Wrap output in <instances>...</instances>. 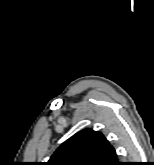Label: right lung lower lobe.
<instances>
[{"label": "right lung lower lobe", "mask_w": 154, "mask_h": 165, "mask_svg": "<svg viewBox=\"0 0 154 165\" xmlns=\"http://www.w3.org/2000/svg\"><path fill=\"white\" fill-rule=\"evenodd\" d=\"M114 165H119V162H118V161H116V162L114 163Z\"/></svg>", "instance_id": "obj_1"}]
</instances>
